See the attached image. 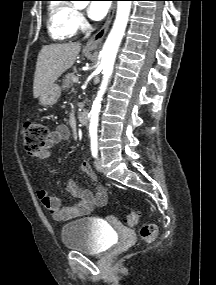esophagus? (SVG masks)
<instances>
[{
	"label": "esophagus",
	"mask_w": 216,
	"mask_h": 285,
	"mask_svg": "<svg viewBox=\"0 0 216 285\" xmlns=\"http://www.w3.org/2000/svg\"><path fill=\"white\" fill-rule=\"evenodd\" d=\"M115 3H113L109 9L108 16L106 18V21L104 25L99 29L97 33H95L86 43V48L87 49H95L104 39L108 28L111 24V21L114 16L115 12Z\"/></svg>",
	"instance_id": "1"
}]
</instances>
